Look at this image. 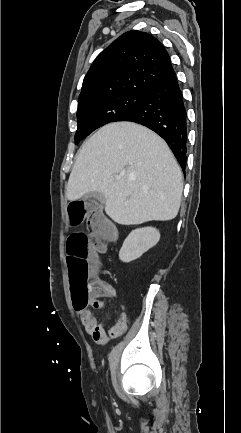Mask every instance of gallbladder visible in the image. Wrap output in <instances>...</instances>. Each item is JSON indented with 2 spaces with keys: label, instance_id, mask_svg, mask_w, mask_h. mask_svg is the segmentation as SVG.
<instances>
[{
  "label": "gallbladder",
  "instance_id": "bac80fb5",
  "mask_svg": "<svg viewBox=\"0 0 241 433\" xmlns=\"http://www.w3.org/2000/svg\"><path fill=\"white\" fill-rule=\"evenodd\" d=\"M90 199H96V200L100 201L101 203H103L105 201L104 195L102 193L96 192V191L89 192L83 196L84 201H87Z\"/></svg>",
  "mask_w": 241,
  "mask_h": 433
}]
</instances>
